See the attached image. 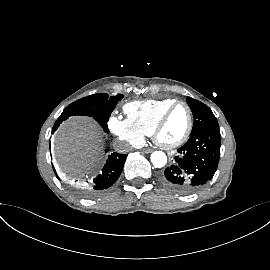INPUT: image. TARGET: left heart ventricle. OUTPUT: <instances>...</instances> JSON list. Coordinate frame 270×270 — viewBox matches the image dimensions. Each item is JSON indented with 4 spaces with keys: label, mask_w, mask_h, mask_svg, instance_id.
<instances>
[{
    "label": "left heart ventricle",
    "mask_w": 270,
    "mask_h": 270,
    "mask_svg": "<svg viewBox=\"0 0 270 270\" xmlns=\"http://www.w3.org/2000/svg\"><path fill=\"white\" fill-rule=\"evenodd\" d=\"M188 125V112L184 106L176 107L169 115L160 133L161 140L173 142L179 139Z\"/></svg>",
    "instance_id": "b2bd125f"
}]
</instances>
